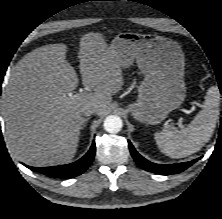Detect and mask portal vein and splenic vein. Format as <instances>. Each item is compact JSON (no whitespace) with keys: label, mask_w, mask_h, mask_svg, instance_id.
Instances as JSON below:
<instances>
[{"label":"portal vein and splenic vein","mask_w":222,"mask_h":219,"mask_svg":"<svg viewBox=\"0 0 222 219\" xmlns=\"http://www.w3.org/2000/svg\"><path fill=\"white\" fill-rule=\"evenodd\" d=\"M73 96H75V95H73L72 93H69V97H73ZM178 126H179L180 128H183V125H182V118L179 120V122H178Z\"/></svg>","instance_id":"18ae733b"}]
</instances>
